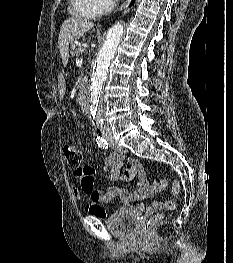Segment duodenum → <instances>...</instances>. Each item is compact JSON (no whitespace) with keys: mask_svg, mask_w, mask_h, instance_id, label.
Wrapping results in <instances>:
<instances>
[{"mask_svg":"<svg viewBox=\"0 0 233 263\" xmlns=\"http://www.w3.org/2000/svg\"><path fill=\"white\" fill-rule=\"evenodd\" d=\"M81 83H84V86H87V83H90V76L82 74Z\"/></svg>","mask_w":233,"mask_h":263,"instance_id":"410a0bca","label":"duodenum"}]
</instances>
